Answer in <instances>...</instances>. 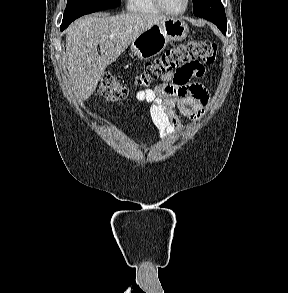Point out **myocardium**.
Wrapping results in <instances>:
<instances>
[{
	"label": "myocardium",
	"mask_w": 288,
	"mask_h": 293,
	"mask_svg": "<svg viewBox=\"0 0 288 293\" xmlns=\"http://www.w3.org/2000/svg\"><path fill=\"white\" fill-rule=\"evenodd\" d=\"M189 1H190V0H185L184 7H183L181 10L173 11V10L168 9V8L165 6V4L163 3L162 0H154L155 4L158 6V8H159L162 12L167 13V14H170V15H181V14H183L184 12H186V10L188 9V6H189Z\"/></svg>",
	"instance_id": "1"
}]
</instances>
